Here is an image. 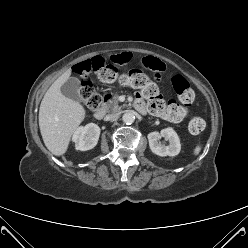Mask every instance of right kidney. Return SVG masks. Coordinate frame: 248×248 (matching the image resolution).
<instances>
[{
	"label": "right kidney",
	"mask_w": 248,
	"mask_h": 248,
	"mask_svg": "<svg viewBox=\"0 0 248 248\" xmlns=\"http://www.w3.org/2000/svg\"><path fill=\"white\" fill-rule=\"evenodd\" d=\"M100 128L97 124L89 123L84 127H79L73 134L72 140L75 148L87 151L94 148L99 140Z\"/></svg>",
	"instance_id": "obj_1"
}]
</instances>
